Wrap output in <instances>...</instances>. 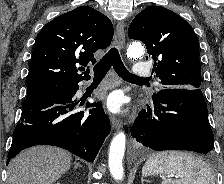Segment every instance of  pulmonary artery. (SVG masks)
<instances>
[{
    "mask_svg": "<svg viewBox=\"0 0 224 184\" xmlns=\"http://www.w3.org/2000/svg\"><path fill=\"white\" fill-rule=\"evenodd\" d=\"M150 67L147 63L144 62H138L134 69L132 74L136 77L142 78V77H148L150 75Z\"/></svg>",
    "mask_w": 224,
    "mask_h": 184,
    "instance_id": "1",
    "label": "pulmonary artery"
}]
</instances>
